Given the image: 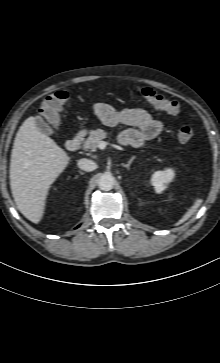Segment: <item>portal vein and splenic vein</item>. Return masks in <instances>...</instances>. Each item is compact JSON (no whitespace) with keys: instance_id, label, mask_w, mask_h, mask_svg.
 <instances>
[{"instance_id":"portal-vein-and-splenic-vein-1","label":"portal vein and splenic vein","mask_w":220,"mask_h":363,"mask_svg":"<svg viewBox=\"0 0 220 363\" xmlns=\"http://www.w3.org/2000/svg\"><path fill=\"white\" fill-rule=\"evenodd\" d=\"M107 143L105 141H100L98 144V148L103 150L106 147Z\"/></svg>"}]
</instances>
